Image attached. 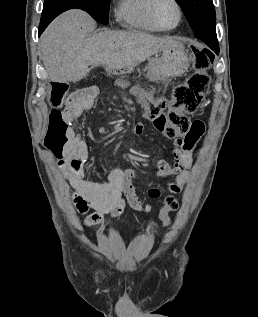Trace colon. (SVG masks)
<instances>
[{
	"label": "colon",
	"instance_id": "5ec220e1",
	"mask_svg": "<svg viewBox=\"0 0 258 317\" xmlns=\"http://www.w3.org/2000/svg\"><path fill=\"white\" fill-rule=\"evenodd\" d=\"M195 71L187 81L173 90L168 101L154 99L149 89L133 87L132 91L137 95L145 109L146 118L154 127L167 138L178 139L186 135L191 128L190 114H192L202 102L208 88V70L214 63L215 55L206 48H193ZM118 84L127 87L125 80H119ZM68 91V84L55 82L49 97L55 107L49 115L48 130L45 145L55 153L61 152L72 140L74 130L72 119L64 111L63 105ZM178 208V199L168 196L165 205L160 212V218L165 225L171 222L169 213Z\"/></svg>",
	"mask_w": 258,
	"mask_h": 317
}]
</instances>
